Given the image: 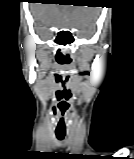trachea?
<instances>
[{
	"mask_svg": "<svg viewBox=\"0 0 134 159\" xmlns=\"http://www.w3.org/2000/svg\"><path fill=\"white\" fill-rule=\"evenodd\" d=\"M56 137L59 141L63 140L65 137V133H58L56 132Z\"/></svg>",
	"mask_w": 134,
	"mask_h": 159,
	"instance_id": "trachea-1",
	"label": "trachea"
}]
</instances>
